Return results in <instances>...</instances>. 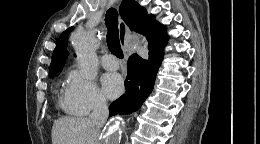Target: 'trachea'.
I'll return each instance as SVG.
<instances>
[{
    "mask_svg": "<svg viewBox=\"0 0 260 144\" xmlns=\"http://www.w3.org/2000/svg\"><path fill=\"white\" fill-rule=\"evenodd\" d=\"M105 24L107 26V44L112 54L123 59V52L119 42L118 30V12L114 8H110L105 15Z\"/></svg>",
    "mask_w": 260,
    "mask_h": 144,
    "instance_id": "3493384b",
    "label": "trachea"
}]
</instances>
